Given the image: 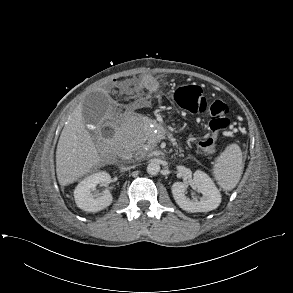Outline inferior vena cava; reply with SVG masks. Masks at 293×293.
<instances>
[{"instance_id": "1", "label": "inferior vena cava", "mask_w": 293, "mask_h": 293, "mask_svg": "<svg viewBox=\"0 0 293 293\" xmlns=\"http://www.w3.org/2000/svg\"><path fill=\"white\" fill-rule=\"evenodd\" d=\"M131 167H124V166H122L121 167V171H127V170H129Z\"/></svg>"}]
</instances>
